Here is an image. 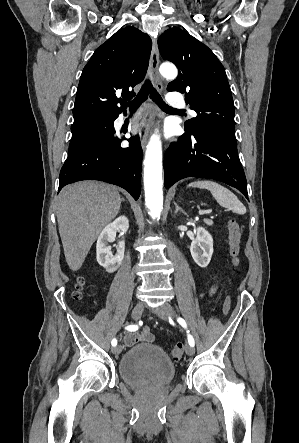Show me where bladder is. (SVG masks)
Here are the masks:
<instances>
[{"label": "bladder", "mask_w": 299, "mask_h": 443, "mask_svg": "<svg viewBox=\"0 0 299 443\" xmlns=\"http://www.w3.org/2000/svg\"><path fill=\"white\" fill-rule=\"evenodd\" d=\"M118 374L127 385L135 388H162L175 380L176 367L160 346L140 343L120 358Z\"/></svg>", "instance_id": "obj_1"}]
</instances>
